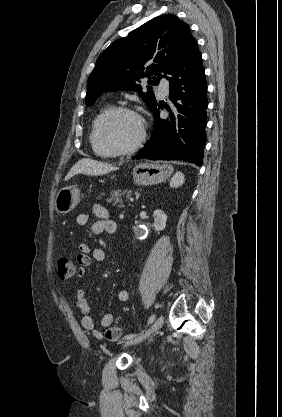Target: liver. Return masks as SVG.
<instances>
[{
    "mask_svg": "<svg viewBox=\"0 0 282 417\" xmlns=\"http://www.w3.org/2000/svg\"><path fill=\"white\" fill-rule=\"evenodd\" d=\"M111 170H118V166H112L109 162H101V160H93V158H81L76 164H73L65 180L74 176V174H90V176H98V174H107Z\"/></svg>",
    "mask_w": 282,
    "mask_h": 417,
    "instance_id": "1",
    "label": "liver"
}]
</instances>
